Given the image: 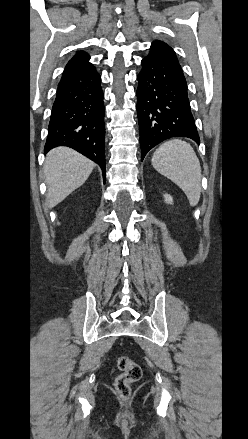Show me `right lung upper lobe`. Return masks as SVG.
I'll list each match as a JSON object with an SVG mask.
<instances>
[{
    "mask_svg": "<svg viewBox=\"0 0 248 439\" xmlns=\"http://www.w3.org/2000/svg\"><path fill=\"white\" fill-rule=\"evenodd\" d=\"M89 59L90 56L87 53L78 51L66 65L62 77L78 72L91 65V63H89Z\"/></svg>",
    "mask_w": 248,
    "mask_h": 439,
    "instance_id": "obj_1",
    "label": "right lung upper lobe"
}]
</instances>
